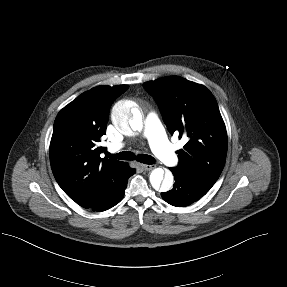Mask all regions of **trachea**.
Instances as JSON below:
<instances>
[{
    "instance_id": "obj_1",
    "label": "trachea",
    "mask_w": 287,
    "mask_h": 287,
    "mask_svg": "<svg viewBox=\"0 0 287 287\" xmlns=\"http://www.w3.org/2000/svg\"><path fill=\"white\" fill-rule=\"evenodd\" d=\"M108 157L119 159V160H136L138 162L144 163V164H154L155 159L147 154H139L135 156L133 152L130 151H123L118 154H110L107 153Z\"/></svg>"
}]
</instances>
